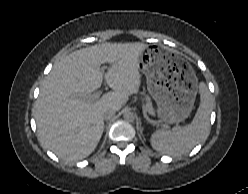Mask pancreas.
<instances>
[{
    "label": "pancreas",
    "instance_id": "obj_1",
    "mask_svg": "<svg viewBox=\"0 0 248 194\" xmlns=\"http://www.w3.org/2000/svg\"><path fill=\"white\" fill-rule=\"evenodd\" d=\"M146 104L143 107V112L144 113H149V114H154V108L152 106V103L150 101L149 96H145Z\"/></svg>",
    "mask_w": 248,
    "mask_h": 194
}]
</instances>
